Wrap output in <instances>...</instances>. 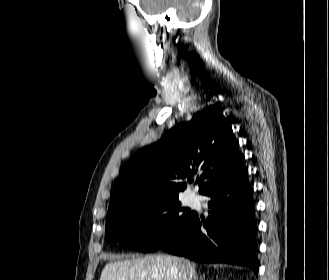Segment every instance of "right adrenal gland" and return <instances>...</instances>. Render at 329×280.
Wrapping results in <instances>:
<instances>
[{
	"label": "right adrenal gland",
	"mask_w": 329,
	"mask_h": 280,
	"mask_svg": "<svg viewBox=\"0 0 329 280\" xmlns=\"http://www.w3.org/2000/svg\"><path fill=\"white\" fill-rule=\"evenodd\" d=\"M194 280H203V276H200V277H195Z\"/></svg>",
	"instance_id": "obj_1"
}]
</instances>
